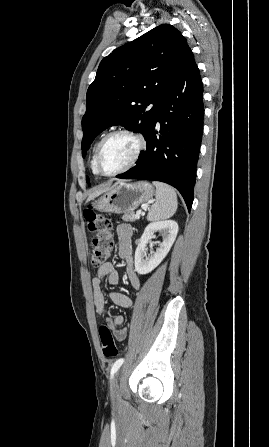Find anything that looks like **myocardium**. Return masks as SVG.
<instances>
[{
	"label": "myocardium",
	"mask_w": 269,
	"mask_h": 447,
	"mask_svg": "<svg viewBox=\"0 0 269 447\" xmlns=\"http://www.w3.org/2000/svg\"><path fill=\"white\" fill-rule=\"evenodd\" d=\"M121 133L129 134V135L135 137L138 141V147L134 153L132 160L126 166H124L120 169L114 170V171H106L102 168V165H101V155H102L103 147H104L105 143L108 141V139H110L112 136H114L116 134H121ZM146 147H147V140L141 132H139L133 128H126V127L114 129V130L108 132L101 139V141L97 147V152H96L97 169L101 174H103L105 176H112V175H116V174L128 171L136 165V163L142 156L143 152L145 151Z\"/></svg>",
	"instance_id": "obj_1"
}]
</instances>
